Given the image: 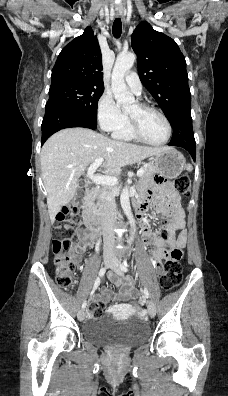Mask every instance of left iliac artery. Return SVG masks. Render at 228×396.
I'll return each mask as SVG.
<instances>
[{"label": "left iliac artery", "mask_w": 228, "mask_h": 396, "mask_svg": "<svg viewBox=\"0 0 228 396\" xmlns=\"http://www.w3.org/2000/svg\"><path fill=\"white\" fill-rule=\"evenodd\" d=\"M127 266H128V265H127V262L122 263V264H121V269H122V271L127 272V271H128ZM144 295H145V297H146L147 299L149 298V292H148L147 288H144Z\"/></svg>", "instance_id": "1"}]
</instances>
